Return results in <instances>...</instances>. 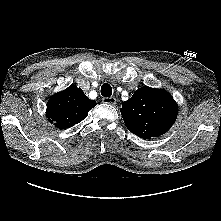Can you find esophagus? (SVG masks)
I'll use <instances>...</instances> for the list:
<instances>
[{
    "label": "esophagus",
    "instance_id": "obj_1",
    "mask_svg": "<svg viewBox=\"0 0 221 221\" xmlns=\"http://www.w3.org/2000/svg\"><path fill=\"white\" fill-rule=\"evenodd\" d=\"M116 98L115 97H103L102 98V102L105 103V104H111V105H114L116 104Z\"/></svg>",
    "mask_w": 221,
    "mask_h": 221
}]
</instances>
